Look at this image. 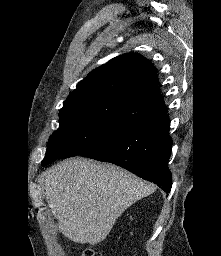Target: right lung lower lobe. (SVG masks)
<instances>
[{
    "label": "right lung lower lobe",
    "mask_w": 221,
    "mask_h": 256,
    "mask_svg": "<svg viewBox=\"0 0 221 256\" xmlns=\"http://www.w3.org/2000/svg\"><path fill=\"white\" fill-rule=\"evenodd\" d=\"M168 129L169 117L164 113L120 131L80 155L116 164L170 192L172 139Z\"/></svg>",
    "instance_id": "98d812e1"
}]
</instances>
